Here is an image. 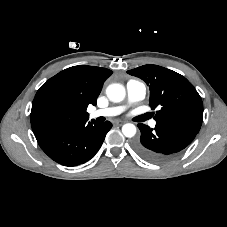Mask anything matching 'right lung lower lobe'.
I'll return each instance as SVG.
<instances>
[{"instance_id":"obj_1","label":"right lung lower lobe","mask_w":227,"mask_h":227,"mask_svg":"<svg viewBox=\"0 0 227 227\" xmlns=\"http://www.w3.org/2000/svg\"><path fill=\"white\" fill-rule=\"evenodd\" d=\"M112 124L82 121L58 126L36 136L41 149L64 166H76L90 160L101 147Z\"/></svg>"}]
</instances>
